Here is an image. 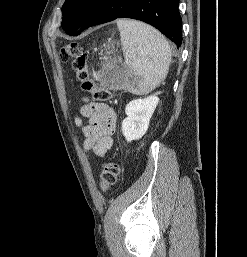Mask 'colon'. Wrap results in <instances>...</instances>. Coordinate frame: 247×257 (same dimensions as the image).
<instances>
[{"label":"colon","instance_id":"obj_1","mask_svg":"<svg viewBox=\"0 0 247 257\" xmlns=\"http://www.w3.org/2000/svg\"><path fill=\"white\" fill-rule=\"evenodd\" d=\"M59 56L63 62L72 61V67L82 90L90 92L98 102H105L111 98V92L107 88L97 85L90 77L87 55L78 43L72 42L63 45L60 48ZM119 174V164L114 160L108 161L100 174V188L103 191L109 190L116 184Z\"/></svg>","mask_w":247,"mask_h":257}]
</instances>
